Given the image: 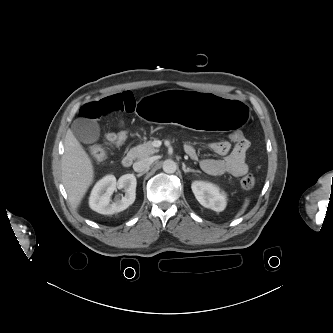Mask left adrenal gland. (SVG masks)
I'll use <instances>...</instances> for the list:
<instances>
[{
    "mask_svg": "<svg viewBox=\"0 0 333 333\" xmlns=\"http://www.w3.org/2000/svg\"><path fill=\"white\" fill-rule=\"evenodd\" d=\"M182 168H183V171H184L185 173H188V172H200L199 170H194V169H191V168H189V167L186 168L185 165H183Z\"/></svg>",
    "mask_w": 333,
    "mask_h": 333,
    "instance_id": "a2214340",
    "label": "left adrenal gland"
}]
</instances>
